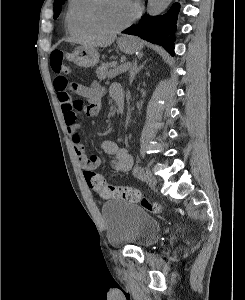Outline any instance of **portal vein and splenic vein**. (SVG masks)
I'll return each mask as SVG.
<instances>
[{"instance_id":"portal-vein-and-splenic-vein-1","label":"portal vein and splenic vein","mask_w":245,"mask_h":300,"mask_svg":"<svg viewBox=\"0 0 245 300\" xmlns=\"http://www.w3.org/2000/svg\"><path fill=\"white\" fill-rule=\"evenodd\" d=\"M129 66H130V63H125V64H123V65H120V66L116 69L115 75H120V74L126 72L127 69L129 68Z\"/></svg>"}]
</instances>
